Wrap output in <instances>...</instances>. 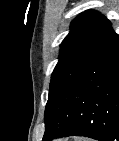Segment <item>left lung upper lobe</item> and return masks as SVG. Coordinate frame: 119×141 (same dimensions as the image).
I'll return each instance as SVG.
<instances>
[{
	"label": "left lung upper lobe",
	"mask_w": 119,
	"mask_h": 141,
	"mask_svg": "<svg viewBox=\"0 0 119 141\" xmlns=\"http://www.w3.org/2000/svg\"><path fill=\"white\" fill-rule=\"evenodd\" d=\"M111 29L110 21L96 11L77 16L61 44L59 62L51 77L50 100L74 80L95 58Z\"/></svg>",
	"instance_id": "5c2ea615"
}]
</instances>
